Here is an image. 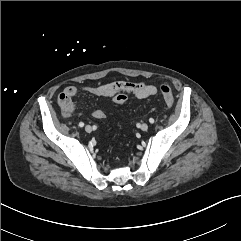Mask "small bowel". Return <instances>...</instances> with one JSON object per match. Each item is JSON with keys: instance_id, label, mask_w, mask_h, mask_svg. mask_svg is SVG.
Segmentation results:
<instances>
[{"instance_id": "obj_1", "label": "small bowel", "mask_w": 241, "mask_h": 241, "mask_svg": "<svg viewBox=\"0 0 241 241\" xmlns=\"http://www.w3.org/2000/svg\"><path fill=\"white\" fill-rule=\"evenodd\" d=\"M85 90L98 97H114L117 93L124 92L138 99H145L157 93V88L154 85L132 81H117L95 86L89 85L85 87ZM77 92L78 90L75 86L69 85L58 96V105L61 108L62 116L66 119L72 117L75 112L76 104L73 99ZM92 115L96 119L105 117V113L101 109L94 110Z\"/></svg>"}]
</instances>
